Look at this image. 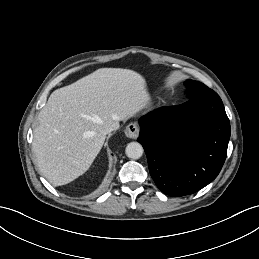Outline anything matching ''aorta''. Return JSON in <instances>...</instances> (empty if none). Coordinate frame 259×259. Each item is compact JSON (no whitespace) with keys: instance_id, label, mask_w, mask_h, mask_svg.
I'll use <instances>...</instances> for the list:
<instances>
[{"instance_id":"762f6f07","label":"aorta","mask_w":259,"mask_h":259,"mask_svg":"<svg viewBox=\"0 0 259 259\" xmlns=\"http://www.w3.org/2000/svg\"><path fill=\"white\" fill-rule=\"evenodd\" d=\"M126 156L131 159H139L143 154V147L138 142H130L125 149Z\"/></svg>"}]
</instances>
